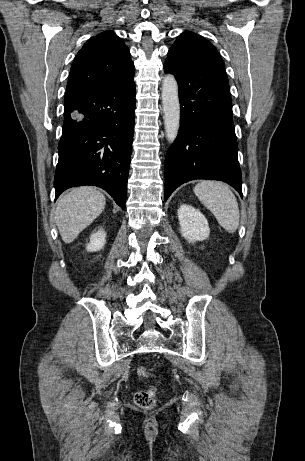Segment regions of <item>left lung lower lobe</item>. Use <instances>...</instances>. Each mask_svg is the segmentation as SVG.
Wrapping results in <instances>:
<instances>
[{"label":"left lung lower lobe","instance_id":"left-lung-lower-lobe-1","mask_svg":"<svg viewBox=\"0 0 305 461\" xmlns=\"http://www.w3.org/2000/svg\"><path fill=\"white\" fill-rule=\"evenodd\" d=\"M165 72L178 83L180 129L165 159V201L194 179L220 180L242 196L241 171L223 64L190 65L166 59Z\"/></svg>","mask_w":305,"mask_h":461}]
</instances>
